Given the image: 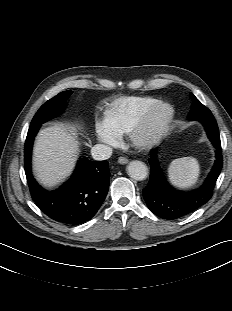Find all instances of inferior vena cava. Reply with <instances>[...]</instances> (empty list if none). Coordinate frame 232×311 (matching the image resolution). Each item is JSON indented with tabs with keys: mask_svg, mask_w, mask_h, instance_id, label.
Wrapping results in <instances>:
<instances>
[{
	"mask_svg": "<svg viewBox=\"0 0 232 311\" xmlns=\"http://www.w3.org/2000/svg\"><path fill=\"white\" fill-rule=\"evenodd\" d=\"M112 148L104 144H96L91 149L92 157L95 160H107L112 155Z\"/></svg>",
	"mask_w": 232,
	"mask_h": 311,
	"instance_id": "602c4592",
	"label": "inferior vena cava"
}]
</instances>
